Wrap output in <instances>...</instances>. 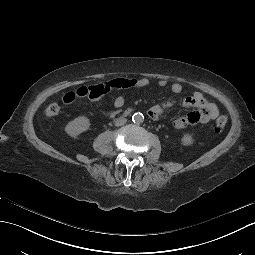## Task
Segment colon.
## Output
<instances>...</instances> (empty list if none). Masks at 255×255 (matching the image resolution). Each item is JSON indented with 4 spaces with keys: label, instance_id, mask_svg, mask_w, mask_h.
<instances>
[{
    "label": "colon",
    "instance_id": "colon-1",
    "mask_svg": "<svg viewBox=\"0 0 255 255\" xmlns=\"http://www.w3.org/2000/svg\"><path fill=\"white\" fill-rule=\"evenodd\" d=\"M61 107L58 103L52 102L47 105L45 109L46 116L48 118H54L60 113ZM228 119L225 115L219 116L214 125L212 126V129L214 132L219 133L222 132L227 125Z\"/></svg>",
    "mask_w": 255,
    "mask_h": 255
}]
</instances>
